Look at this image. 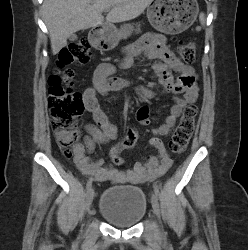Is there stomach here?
<instances>
[{
  "label": "stomach",
  "instance_id": "1",
  "mask_svg": "<svg viewBox=\"0 0 248 250\" xmlns=\"http://www.w3.org/2000/svg\"><path fill=\"white\" fill-rule=\"evenodd\" d=\"M199 7L196 0H155L147 8V18L157 31L178 34L188 29L196 20ZM130 26L120 30L113 26L104 27L102 37L107 42L106 49L114 48L121 37L130 35Z\"/></svg>",
  "mask_w": 248,
  "mask_h": 250
}]
</instances>
